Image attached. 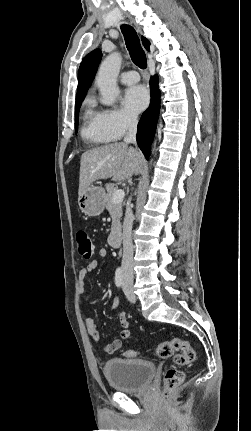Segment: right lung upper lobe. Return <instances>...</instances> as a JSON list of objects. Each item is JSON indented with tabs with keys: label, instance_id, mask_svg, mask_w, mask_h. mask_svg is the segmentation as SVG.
<instances>
[{
	"label": "right lung upper lobe",
	"instance_id": "cb5924a9",
	"mask_svg": "<svg viewBox=\"0 0 251 431\" xmlns=\"http://www.w3.org/2000/svg\"><path fill=\"white\" fill-rule=\"evenodd\" d=\"M142 42L146 50H150V42L145 37H142ZM102 53L99 49H95L85 56L80 64L78 71V87L76 100L84 99L88 88L91 86L92 81L97 72Z\"/></svg>",
	"mask_w": 251,
	"mask_h": 431
}]
</instances>
